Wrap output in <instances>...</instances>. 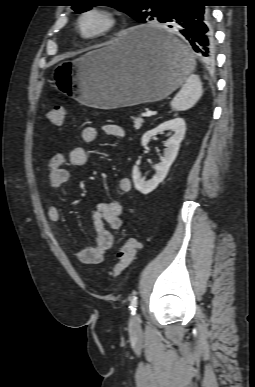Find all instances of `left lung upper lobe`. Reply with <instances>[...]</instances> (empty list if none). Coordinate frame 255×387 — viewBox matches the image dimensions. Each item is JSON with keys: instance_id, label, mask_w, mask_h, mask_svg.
I'll return each instance as SVG.
<instances>
[{"instance_id": "1", "label": "left lung upper lobe", "mask_w": 255, "mask_h": 387, "mask_svg": "<svg viewBox=\"0 0 255 387\" xmlns=\"http://www.w3.org/2000/svg\"><path fill=\"white\" fill-rule=\"evenodd\" d=\"M179 0H74L72 9L76 13L85 12L96 5H107L127 13L140 23L160 21L168 6Z\"/></svg>"}]
</instances>
